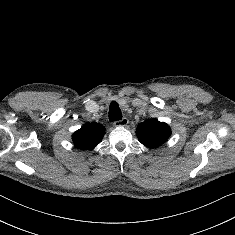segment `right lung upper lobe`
Segmentation results:
<instances>
[{
  "instance_id": "cb5924a9",
  "label": "right lung upper lobe",
  "mask_w": 235,
  "mask_h": 235,
  "mask_svg": "<svg viewBox=\"0 0 235 235\" xmlns=\"http://www.w3.org/2000/svg\"><path fill=\"white\" fill-rule=\"evenodd\" d=\"M104 130L105 128L101 124L87 123L72 135V139L74 144L80 149H93L101 142L105 134Z\"/></svg>"
}]
</instances>
